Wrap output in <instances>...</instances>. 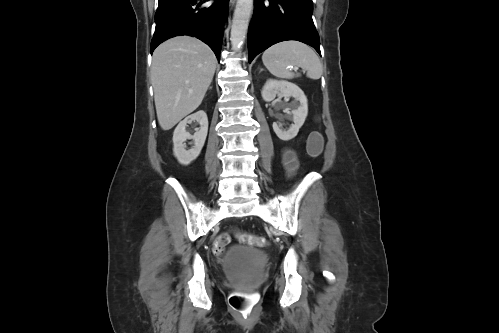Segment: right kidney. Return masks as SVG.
Instances as JSON below:
<instances>
[{"label": "right kidney", "mask_w": 499, "mask_h": 333, "mask_svg": "<svg viewBox=\"0 0 499 333\" xmlns=\"http://www.w3.org/2000/svg\"><path fill=\"white\" fill-rule=\"evenodd\" d=\"M193 121H197L200 124V128L194 135H191L186 131V127L187 124H191ZM207 132L208 118L206 113L202 110L189 115L178 124L173 133V153L180 164L189 165L199 156L204 146ZM187 139H192L194 141V146L189 150H186V144L184 143Z\"/></svg>", "instance_id": "1"}]
</instances>
